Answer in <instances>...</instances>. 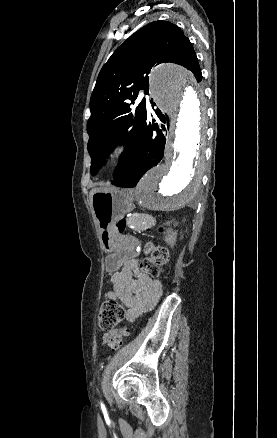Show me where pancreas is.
Instances as JSON below:
<instances>
[{
  "mask_svg": "<svg viewBox=\"0 0 277 438\" xmlns=\"http://www.w3.org/2000/svg\"><path fill=\"white\" fill-rule=\"evenodd\" d=\"M124 223L126 227H135L136 233H145L146 227L149 225V220L145 214H130Z\"/></svg>",
  "mask_w": 277,
  "mask_h": 438,
  "instance_id": "obj_1",
  "label": "pancreas"
}]
</instances>
